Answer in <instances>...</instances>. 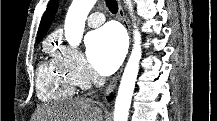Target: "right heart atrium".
<instances>
[{
	"instance_id": "obj_1",
	"label": "right heart atrium",
	"mask_w": 217,
	"mask_h": 121,
	"mask_svg": "<svg viewBox=\"0 0 217 121\" xmlns=\"http://www.w3.org/2000/svg\"><path fill=\"white\" fill-rule=\"evenodd\" d=\"M57 59L68 70L79 87L86 88L90 83L97 80L84 58L77 51L65 46H59Z\"/></svg>"
}]
</instances>
